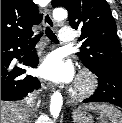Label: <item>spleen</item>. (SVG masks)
<instances>
[{"label": "spleen", "mask_w": 122, "mask_h": 123, "mask_svg": "<svg viewBox=\"0 0 122 123\" xmlns=\"http://www.w3.org/2000/svg\"><path fill=\"white\" fill-rule=\"evenodd\" d=\"M92 111L100 114L101 123H122V113L116 107L109 104L91 103L79 106L74 114Z\"/></svg>", "instance_id": "obj_1"}]
</instances>
